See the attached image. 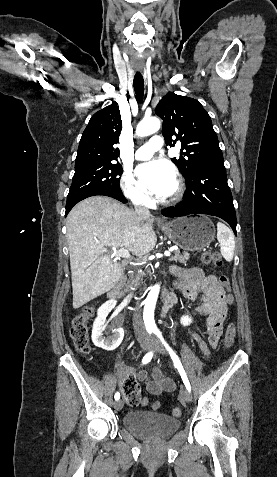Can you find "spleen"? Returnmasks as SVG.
<instances>
[{
    "label": "spleen",
    "mask_w": 277,
    "mask_h": 477,
    "mask_svg": "<svg viewBox=\"0 0 277 477\" xmlns=\"http://www.w3.org/2000/svg\"><path fill=\"white\" fill-rule=\"evenodd\" d=\"M217 240L223 258L230 262L234 256L235 240L232 231L223 223H217Z\"/></svg>",
    "instance_id": "3e777b00"
}]
</instances>
